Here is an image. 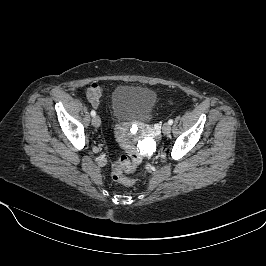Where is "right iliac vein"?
<instances>
[{"instance_id": "obj_1", "label": "right iliac vein", "mask_w": 266, "mask_h": 266, "mask_svg": "<svg viewBox=\"0 0 266 266\" xmlns=\"http://www.w3.org/2000/svg\"><path fill=\"white\" fill-rule=\"evenodd\" d=\"M92 125L94 127H99L101 125V119L99 116H94L92 119Z\"/></svg>"}]
</instances>
